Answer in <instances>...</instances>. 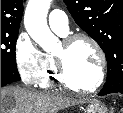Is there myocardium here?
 <instances>
[{
  "mask_svg": "<svg viewBox=\"0 0 123 113\" xmlns=\"http://www.w3.org/2000/svg\"><path fill=\"white\" fill-rule=\"evenodd\" d=\"M77 41H86L88 42L97 53L98 61H99V69H98V76L96 80L93 82L92 85L88 87H82L78 84L72 82L67 74L64 61L61 56L54 54L53 60L56 70V75L58 80L64 86L75 90L80 93H91L96 91L103 83L106 77V68H107V58L106 54L100 45V43L91 35L85 33H76L65 37L62 41V46L65 49L70 48L75 42Z\"/></svg>",
  "mask_w": 123,
  "mask_h": 113,
  "instance_id": "f54148a6",
  "label": "myocardium"
}]
</instances>
